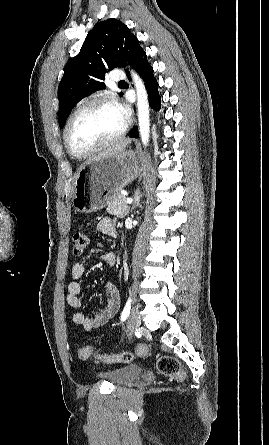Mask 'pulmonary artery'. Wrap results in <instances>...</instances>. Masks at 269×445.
I'll list each match as a JSON object with an SVG mask.
<instances>
[{"label": "pulmonary artery", "mask_w": 269, "mask_h": 445, "mask_svg": "<svg viewBox=\"0 0 269 445\" xmlns=\"http://www.w3.org/2000/svg\"><path fill=\"white\" fill-rule=\"evenodd\" d=\"M110 78L112 81L120 82V81L124 80L125 75L122 71L114 70L111 72Z\"/></svg>", "instance_id": "e3ab8cb5"}]
</instances>
